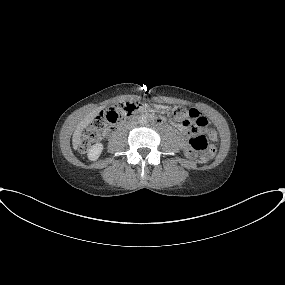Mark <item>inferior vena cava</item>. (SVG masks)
<instances>
[{
	"instance_id": "inferior-vena-cava-1",
	"label": "inferior vena cava",
	"mask_w": 285,
	"mask_h": 285,
	"mask_svg": "<svg viewBox=\"0 0 285 285\" xmlns=\"http://www.w3.org/2000/svg\"><path fill=\"white\" fill-rule=\"evenodd\" d=\"M136 126V122H132V123H130L128 126H127V128L128 129H132V128H134Z\"/></svg>"
}]
</instances>
